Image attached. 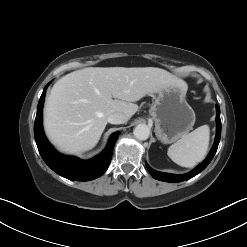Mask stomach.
<instances>
[{
    "label": "stomach",
    "instance_id": "0dacf381",
    "mask_svg": "<svg viewBox=\"0 0 247 247\" xmlns=\"http://www.w3.org/2000/svg\"><path fill=\"white\" fill-rule=\"evenodd\" d=\"M187 85H166L157 92L150 108L155 133L163 143H173L187 134L195 123V113L186 101Z\"/></svg>",
    "mask_w": 247,
    "mask_h": 247
}]
</instances>
